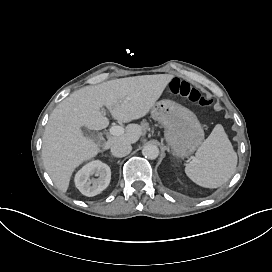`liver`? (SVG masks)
<instances>
[{"instance_id":"1","label":"liver","mask_w":272,"mask_h":272,"mask_svg":"<svg viewBox=\"0 0 272 272\" xmlns=\"http://www.w3.org/2000/svg\"><path fill=\"white\" fill-rule=\"evenodd\" d=\"M172 78L158 74L114 79L83 87L61 101L49 116L42 147L44 167L57 188L66 192L75 168L100 152L81 127L106 128L109 119L100 112L102 106L120 122L139 119L149 112ZM142 133V126L128 124L125 134L109 137L104 149L116 142L135 143Z\"/></svg>"}]
</instances>
